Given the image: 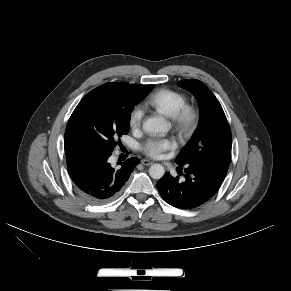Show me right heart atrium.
Masks as SVG:
<instances>
[{"instance_id": "1", "label": "right heart atrium", "mask_w": 291, "mask_h": 291, "mask_svg": "<svg viewBox=\"0 0 291 291\" xmlns=\"http://www.w3.org/2000/svg\"><path fill=\"white\" fill-rule=\"evenodd\" d=\"M143 118H144L143 109L140 106H135L131 110L128 118L130 127L133 129L139 128L142 124Z\"/></svg>"}]
</instances>
